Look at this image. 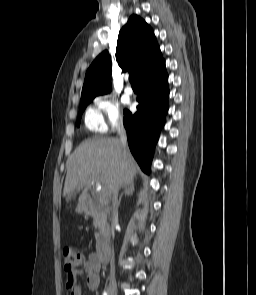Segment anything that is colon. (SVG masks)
I'll return each instance as SVG.
<instances>
[{
  "label": "colon",
  "instance_id": "5ec220e1",
  "mask_svg": "<svg viewBox=\"0 0 256 295\" xmlns=\"http://www.w3.org/2000/svg\"><path fill=\"white\" fill-rule=\"evenodd\" d=\"M63 268L67 272L75 270L82 263V255L70 246H65L62 250Z\"/></svg>",
  "mask_w": 256,
  "mask_h": 295
}]
</instances>
